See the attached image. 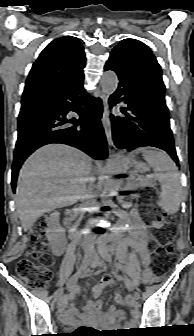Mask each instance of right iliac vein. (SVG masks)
<instances>
[{
  "mask_svg": "<svg viewBox=\"0 0 194 336\" xmlns=\"http://www.w3.org/2000/svg\"><path fill=\"white\" fill-rule=\"evenodd\" d=\"M62 293H63V290H59L58 291V294H57V298H58V305L60 306L62 304Z\"/></svg>",
  "mask_w": 194,
  "mask_h": 336,
  "instance_id": "63e3f726",
  "label": "right iliac vein"
}]
</instances>
